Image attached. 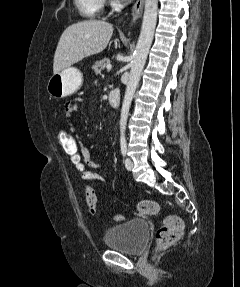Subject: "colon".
Returning a JSON list of instances; mask_svg holds the SVG:
<instances>
[{"label":"colon","instance_id":"1","mask_svg":"<svg viewBox=\"0 0 240 287\" xmlns=\"http://www.w3.org/2000/svg\"><path fill=\"white\" fill-rule=\"evenodd\" d=\"M56 141L62 152L68 157L71 164L78 171L82 180L93 181V172L84 161L78 141L67 126L60 127L56 132ZM86 203L91 214H96L97 198L94 189L87 186L85 190ZM141 215H155L160 211V205L153 200H142L137 205ZM115 221H123V215H116ZM184 224L178 216H168L156 233V246L158 250L168 248L177 243L183 235Z\"/></svg>","mask_w":240,"mask_h":287}]
</instances>
